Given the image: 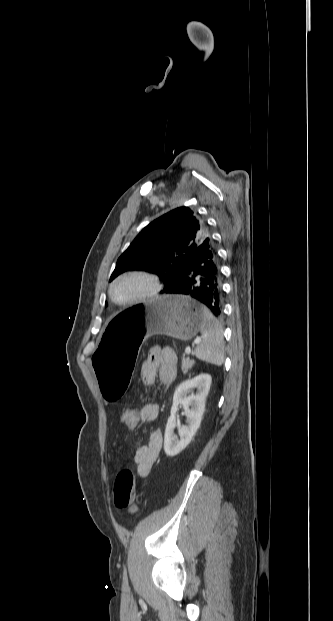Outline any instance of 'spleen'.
Instances as JSON below:
<instances>
[{
  "mask_svg": "<svg viewBox=\"0 0 333 621\" xmlns=\"http://www.w3.org/2000/svg\"><path fill=\"white\" fill-rule=\"evenodd\" d=\"M200 332L202 341L195 348V356L203 362L221 366L224 362L223 330L219 321L208 309H205Z\"/></svg>",
  "mask_w": 333,
  "mask_h": 621,
  "instance_id": "obj_1",
  "label": "spleen"
}]
</instances>
